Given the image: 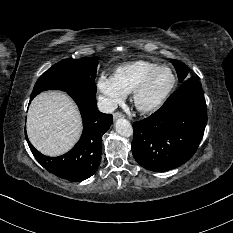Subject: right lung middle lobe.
<instances>
[{"mask_svg": "<svg viewBox=\"0 0 233 233\" xmlns=\"http://www.w3.org/2000/svg\"><path fill=\"white\" fill-rule=\"evenodd\" d=\"M97 65L98 61L93 58L62 60L37 80L31 98L49 89H58L68 93L72 91L96 93L94 80Z\"/></svg>", "mask_w": 233, "mask_h": 233, "instance_id": "1", "label": "right lung middle lobe"}]
</instances>
